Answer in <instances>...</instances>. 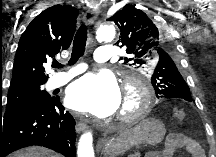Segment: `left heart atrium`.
<instances>
[{"instance_id":"left-heart-atrium-1","label":"left heart atrium","mask_w":216,"mask_h":157,"mask_svg":"<svg viewBox=\"0 0 216 157\" xmlns=\"http://www.w3.org/2000/svg\"><path fill=\"white\" fill-rule=\"evenodd\" d=\"M65 101L73 110L107 117L119 109L122 95L111 73H90L69 86Z\"/></svg>"}]
</instances>
